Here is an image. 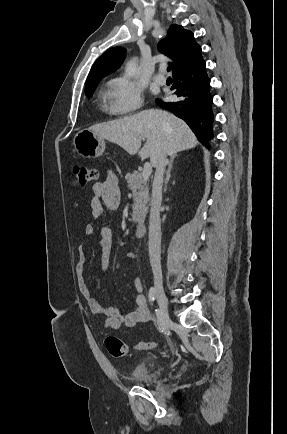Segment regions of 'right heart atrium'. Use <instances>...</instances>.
Masks as SVG:
<instances>
[{
	"label": "right heart atrium",
	"instance_id": "d8ad5b80",
	"mask_svg": "<svg viewBox=\"0 0 287 434\" xmlns=\"http://www.w3.org/2000/svg\"><path fill=\"white\" fill-rule=\"evenodd\" d=\"M107 99L110 111L128 114L141 106L142 88L128 77H116L109 82Z\"/></svg>",
	"mask_w": 287,
	"mask_h": 434
}]
</instances>
